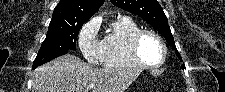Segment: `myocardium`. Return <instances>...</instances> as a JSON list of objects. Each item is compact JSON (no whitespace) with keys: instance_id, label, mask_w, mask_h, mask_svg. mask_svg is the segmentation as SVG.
<instances>
[{"instance_id":"1","label":"myocardium","mask_w":225,"mask_h":92,"mask_svg":"<svg viewBox=\"0 0 225 92\" xmlns=\"http://www.w3.org/2000/svg\"><path fill=\"white\" fill-rule=\"evenodd\" d=\"M146 35L152 36L153 38H155L161 45L162 47V58L161 60L156 63V64H148L146 63L139 52V44L140 41L142 40V38ZM129 52L131 54V56L133 57L135 63L140 66V67H144L147 69H157L159 67H161L165 61H166V57H167V46L163 40V38L157 34L156 32L152 31V30H148V29H140L138 31H136L129 40Z\"/></svg>"}]
</instances>
